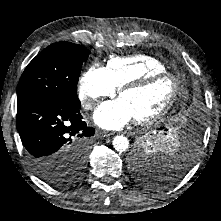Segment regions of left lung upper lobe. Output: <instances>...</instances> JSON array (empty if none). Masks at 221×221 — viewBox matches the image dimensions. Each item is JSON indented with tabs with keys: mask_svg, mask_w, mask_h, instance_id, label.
I'll return each mask as SVG.
<instances>
[{
	"mask_svg": "<svg viewBox=\"0 0 221 221\" xmlns=\"http://www.w3.org/2000/svg\"><path fill=\"white\" fill-rule=\"evenodd\" d=\"M161 155L145 153L142 148L132 154L131 165L134 177L149 186H161L167 184L166 173L158 171L157 166L162 165ZM162 170V169H161ZM164 171V170H162ZM165 174V176H164ZM155 176H161L160 178ZM160 180V181H159Z\"/></svg>",
	"mask_w": 221,
	"mask_h": 221,
	"instance_id": "1",
	"label": "left lung upper lobe"
}]
</instances>
